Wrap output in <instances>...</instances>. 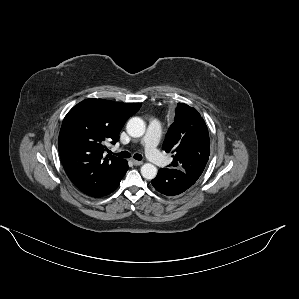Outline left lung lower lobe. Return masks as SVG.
Instances as JSON below:
<instances>
[{
    "label": "left lung lower lobe",
    "instance_id": "0a47b994",
    "mask_svg": "<svg viewBox=\"0 0 299 299\" xmlns=\"http://www.w3.org/2000/svg\"><path fill=\"white\" fill-rule=\"evenodd\" d=\"M196 181L177 168H161L156 178L151 180L154 188L167 196L179 195L190 188Z\"/></svg>",
    "mask_w": 299,
    "mask_h": 299
}]
</instances>
